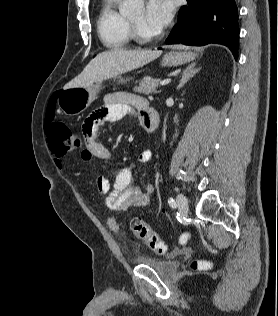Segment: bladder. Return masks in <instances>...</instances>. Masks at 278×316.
I'll return each instance as SVG.
<instances>
[{
    "instance_id": "1",
    "label": "bladder",
    "mask_w": 278,
    "mask_h": 316,
    "mask_svg": "<svg viewBox=\"0 0 278 316\" xmlns=\"http://www.w3.org/2000/svg\"><path fill=\"white\" fill-rule=\"evenodd\" d=\"M136 263L151 268L160 275L171 274L175 267V262L170 259L138 258Z\"/></svg>"
}]
</instances>
